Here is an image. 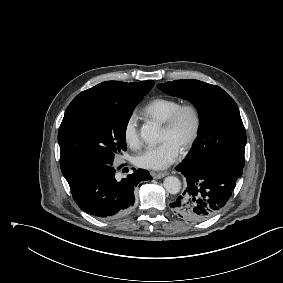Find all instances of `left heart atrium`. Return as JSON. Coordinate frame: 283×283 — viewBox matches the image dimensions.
Wrapping results in <instances>:
<instances>
[{"instance_id":"39dd6f15","label":"left heart atrium","mask_w":283,"mask_h":283,"mask_svg":"<svg viewBox=\"0 0 283 283\" xmlns=\"http://www.w3.org/2000/svg\"><path fill=\"white\" fill-rule=\"evenodd\" d=\"M179 155L180 148L171 141H165L138 152L134 157V163L141 168L162 170L173 164Z\"/></svg>"}]
</instances>
